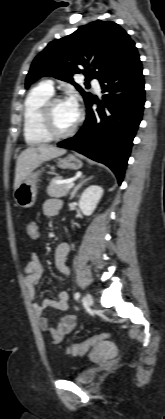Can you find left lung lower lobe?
Instances as JSON below:
<instances>
[{
  "instance_id": "left-lung-lower-lobe-1",
  "label": "left lung lower lobe",
  "mask_w": 165,
  "mask_h": 419,
  "mask_svg": "<svg viewBox=\"0 0 165 419\" xmlns=\"http://www.w3.org/2000/svg\"><path fill=\"white\" fill-rule=\"evenodd\" d=\"M103 100L96 111L86 104L84 125L58 144L107 165L122 183L145 103L142 65L136 48L100 80Z\"/></svg>"
}]
</instances>
